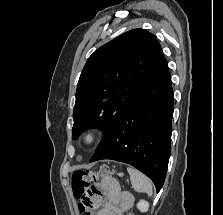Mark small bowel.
<instances>
[{"instance_id":"obj_1","label":"small bowel","mask_w":223,"mask_h":215,"mask_svg":"<svg viewBox=\"0 0 223 215\" xmlns=\"http://www.w3.org/2000/svg\"><path fill=\"white\" fill-rule=\"evenodd\" d=\"M133 202L134 198L129 192L121 191L118 183L106 176L89 186L79 203V210L82 215H125ZM82 205L88 210L83 211ZM92 209H97L96 213H92Z\"/></svg>"}]
</instances>
